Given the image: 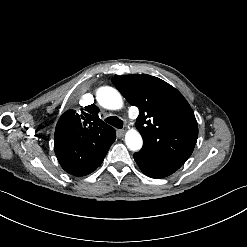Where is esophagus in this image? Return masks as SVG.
Here are the masks:
<instances>
[{"instance_id":"34e87169","label":"esophagus","mask_w":247,"mask_h":247,"mask_svg":"<svg viewBox=\"0 0 247 247\" xmlns=\"http://www.w3.org/2000/svg\"><path fill=\"white\" fill-rule=\"evenodd\" d=\"M124 134H125V130H122V129L117 130V137H118V138L123 137Z\"/></svg>"}]
</instances>
